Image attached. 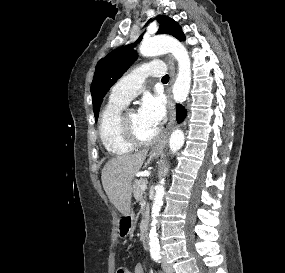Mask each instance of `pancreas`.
<instances>
[{"label":"pancreas","instance_id":"obj_1","mask_svg":"<svg viewBox=\"0 0 285 273\" xmlns=\"http://www.w3.org/2000/svg\"><path fill=\"white\" fill-rule=\"evenodd\" d=\"M145 182V180L140 179V180H135L133 183V196L134 198L143 203L144 199H143V190L141 189V185ZM146 209H148V205L146 207Z\"/></svg>","mask_w":285,"mask_h":273}]
</instances>
